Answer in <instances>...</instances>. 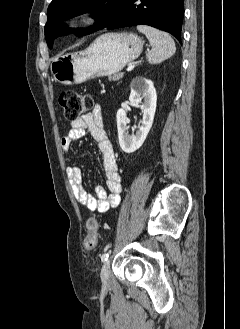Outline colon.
Here are the masks:
<instances>
[{
    "mask_svg": "<svg viewBox=\"0 0 240 329\" xmlns=\"http://www.w3.org/2000/svg\"><path fill=\"white\" fill-rule=\"evenodd\" d=\"M59 104L64 109L65 117L68 120H76L81 113L93 105L91 96L76 91H64L59 96ZM88 233L84 239V246L87 250H93L98 242V222L90 218L87 222Z\"/></svg>",
    "mask_w": 240,
    "mask_h": 329,
    "instance_id": "1",
    "label": "colon"
}]
</instances>
